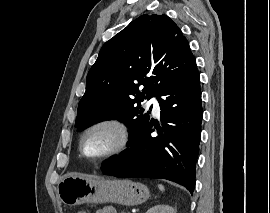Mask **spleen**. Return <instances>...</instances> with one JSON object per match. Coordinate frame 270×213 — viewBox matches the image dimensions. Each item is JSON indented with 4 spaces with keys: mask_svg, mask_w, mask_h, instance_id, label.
<instances>
[{
    "mask_svg": "<svg viewBox=\"0 0 270 213\" xmlns=\"http://www.w3.org/2000/svg\"><path fill=\"white\" fill-rule=\"evenodd\" d=\"M158 187H159V189H160L161 191H164V190H165V188H164V186H163L162 184H158Z\"/></svg>",
    "mask_w": 270,
    "mask_h": 213,
    "instance_id": "3e777b00",
    "label": "spleen"
}]
</instances>
